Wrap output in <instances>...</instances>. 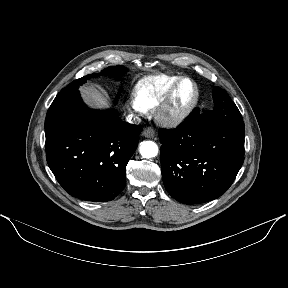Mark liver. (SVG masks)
Wrapping results in <instances>:
<instances>
[{
    "instance_id": "obj_1",
    "label": "liver",
    "mask_w": 288,
    "mask_h": 288,
    "mask_svg": "<svg viewBox=\"0 0 288 288\" xmlns=\"http://www.w3.org/2000/svg\"><path fill=\"white\" fill-rule=\"evenodd\" d=\"M82 93L87 104L93 108L105 109L110 105L108 96L95 88L87 87L82 89Z\"/></svg>"
}]
</instances>
